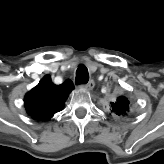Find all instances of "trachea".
<instances>
[{"instance_id":"trachea-1","label":"trachea","mask_w":164,"mask_h":164,"mask_svg":"<svg viewBox=\"0 0 164 164\" xmlns=\"http://www.w3.org/2000/svg\"><path fill=\"white\" fill-rule=\"evenodd\" d=\"M89 81V74L88 69L85 65L81 64L79 65L77 71H76V85L80 84H86Z\"/></svg>"}]
</instances>
